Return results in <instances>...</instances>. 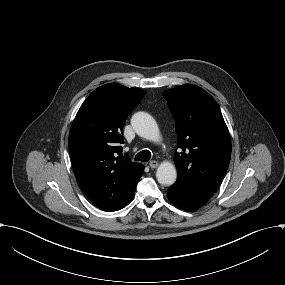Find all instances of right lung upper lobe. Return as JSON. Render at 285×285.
<instances>
[{"mask_svg": "<svg viewBox=\"0 0 285 285\" xmlns=\"http://www.w3.org/2000/svg\"><path fill=\"white\" fill-rule=\"evenodd\" d=\"M146 94L117 83L95 89L72 123L69 150L80 187L100 209L119 210L140 179L144 166L122 154L123 125Z\"/></svg>", "mask_w": 285, "mask_h": 285, "instance_id": "1", "label": "right lung upper lobe"}]
</instances>
